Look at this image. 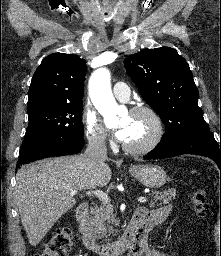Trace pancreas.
<instances>
[{"label":"pancreas","instance_id":"cf45deb5","mask_svg":"<svg viewBox=\"0 0 221 256\" xmlns=\"http://www.w3.org/2000/svg\"><path fill=\"white\" fill-rule=\"evenodd\" d=\"M176 196V189H168L163 192L154 191L150 207L168 204ZM89 226L98 238L109 237L114 233V228L110 224H117L113 206L109 202H102L101 205L91 208Z\"/></svg>","mask_w":221,"mask_h":256}]
</instances>
